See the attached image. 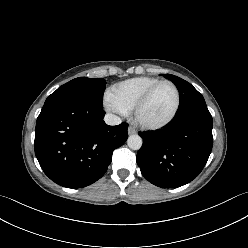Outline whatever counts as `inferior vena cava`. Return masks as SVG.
<instances>
[{"instance_id":"inferior-vena-cava-1","label":"inferior vena cava","mask_w":248,"mask_h":248,"mask_svg":"<svg viewBox=\"0 0 248 248\" xmlns=\"http://www.w3.org/2000/svg\"><path fill=\"white\" fill-rule=\"evenodd\" d=\"M104 121L108 125H119L122 122L120 117L111 113L105 115Z\"/></svg>"}]
</instances>
